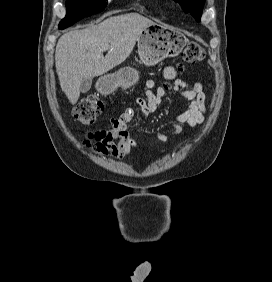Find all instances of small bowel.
Returning <instances> with one entry per match:
<instances>
[{"mask_svg":"<svg viewBox=\"0 0 272 282\" xmlns=\"http://www.w3.org/2000/svg\"><path fill=\"white\" fill-rule=\"evenodd\" d=\"M164 77L167 79H175V70L168 67L164 70ZM153 81H148L144 88V93L147 97V102L142 99H137L136 102L141 107L142 116L140 120L145 119L150 114L157 111L161 104V97L166 93V89L159 87L156 94L153 93ZM172 91L177 92L183 99L189 101L186 111L175 118L171 123L172 134L177 135L181 132V124L185 123L190 127H195L205 122V92L201 83H191L186 80H175V85ZM134 112L131 108H125L121 115L111 119V129L108 131V146L111 149L114 157H124L130 154L132 147L137 150L143 149L134 139L128 134V128L133 126ZM158 139L167 143L168 135L164 131L157 133ZM115 140H119L115 143Z\"/></svg>","mask_w":272,"mask_h":282,"instance_id":"obj_1","label":"small bowel"}]
</instances>
